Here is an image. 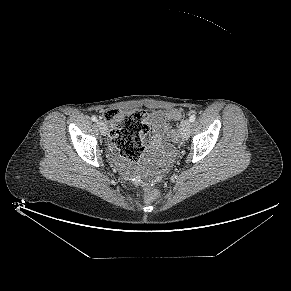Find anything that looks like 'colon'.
Instances as JSON below:
<instances>
[{"mask_svg":"<svg viewBox=\"0 0 291 291\" xmlns=\"http://www.w3.org/2000/svg\"><path fill=\"white\" fill-rule=\"evenodd\" d=\"M170 121L183 118L180 109H172L167 112ZM104 120L110 128V136L121 155L129 160L136 161L143 153L141 135L149 131V119L144 110L118 111L109 109L103 114ZM159 197V190L151 185L147 188L145 198L149 202Z\"/></svg>","mask_w":291,"mask_h":291,"instance_id":"1","label":"colon"}]
</instances>
